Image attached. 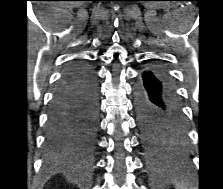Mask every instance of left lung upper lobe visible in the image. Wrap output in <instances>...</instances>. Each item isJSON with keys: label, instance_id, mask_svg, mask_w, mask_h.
<instances>
[{"label": "left lung upper lobe", "instance_id": "left-lung-upper-lobe-1", "mask_svg": "<svg viewBox=\"0 0 223 189\" xmlns=\"http://www.w3.org/2000/svg\"><path fill=\"white\" fill-rule=\"evenodd\" d=\"M140 128L145 145L153 153L166 152L184 142V138L177 137L162 127L140 125Z\"/></svg>", "mask_w": 223, "mask_h": 189}]
</instances>
